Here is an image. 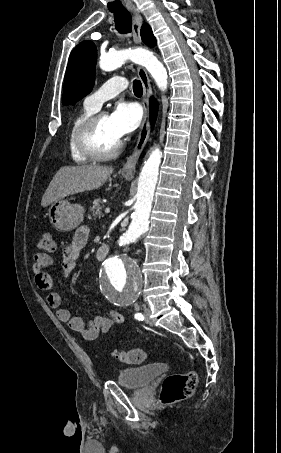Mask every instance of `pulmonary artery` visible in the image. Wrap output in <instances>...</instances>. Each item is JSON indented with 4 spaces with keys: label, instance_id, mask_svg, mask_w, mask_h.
<instances>
[{
    "label": "pulmonary artery",
    "instance_id": "e3ab8cb5",
    "mask_svg": "<svg viewBox=\"0 0 281 453\" xmlns=\"http://www.w3.org/2000/svg\"><path fill=\"white\" fill-rule=\"evenodd\" d=\"M108 86L114 87V89L106 93L98 91L88 98V104L93 109L99 110L105 101L115 97L118 93L125 89L127 86V81L122 77H113L102 84L101 89Z\"/></svg>",
    "mask_w": 281,
    "mask_h": 453
}]
</instances>
